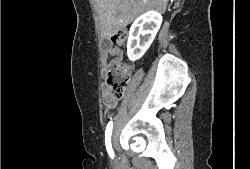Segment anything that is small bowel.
Returning a JSON list of instances; mask_svg holds the SVG:
<instances>
[{"mask_svg": "<svg viewBox=\"0 0 250 169\" xmlns=\"http://www.w3.org/2000/svg\"><path fill=\"white\" fill-rule=\"evenodd\" d=\"M109 54L114 57L107 65L106 69H110L119 63L122 53L119 48L113 47L109 50ZM102 100L106 108L113 109L117 105V99L113 98L109 92L108 86H104L102 89Z\"/></svg>", "mask_w": 250, "mask_h": 169, "instance_id": "obj_1", "label": "small bowel"}]
</instances>
